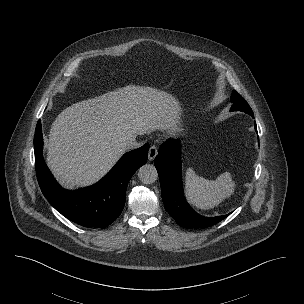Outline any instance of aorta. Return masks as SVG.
I'll list each match as a JSON object with an SVG mask.
<instances>
[{
    "instance_id": "obj_1",
    "label": "aorta",
    "mask_w": 304,
    "mask_h": 304,
    "mask_svg": "<svg viewBox=\"0 0 304 304\" xmlns=\"http://www.w3.org/2000/svg\"><path fill=\"white\" fill-rule=\"evenodd\" d=\"M139 180L144 184H152L158 178V173L155 166L151 164H145L138 170Z\"/></svg>"
}]
</instances>
